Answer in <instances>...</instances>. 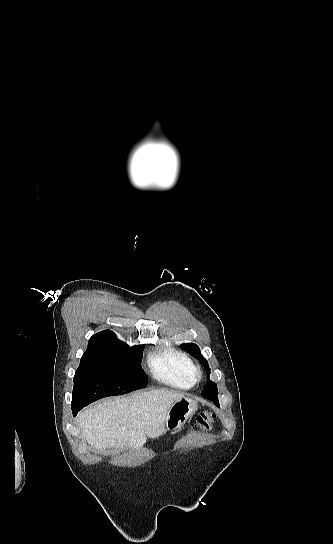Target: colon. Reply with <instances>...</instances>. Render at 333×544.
Listing matches in <instances>:
<instances>
[{
	"instance_id": "5ec220e1",
	"label": "colon",
	"mask_w": 333,
	"mask_h": 544,
	"mask_svg": "<svg viewBox=\"0 0 333 544\" xmlns=\"http://www.w3.org/2000/svg\"><path fill=\"white\" fill-rule=\"evenodd\" d=\"M215 418L216 414L212 411H203L197 416L192 427L196 430H207L210 428Z\"/></svg>"
}]
</instances>
